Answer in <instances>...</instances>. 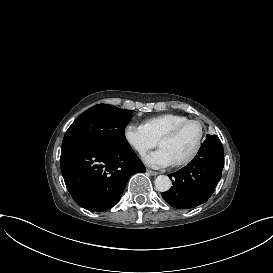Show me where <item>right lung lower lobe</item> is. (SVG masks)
I'll use <instances>...</instances> for the list:
<instances>
[{
    "label": "right lung lower lobe",
    "instance_id": "obj_1",
    "mask_svg": "<svg viewBox=\"0 0 273 273\" xmlns=\"http://www.w3.org/2000/svg\"><path fill=\"white\" fill-rule=\"evenodd\" d=\"M60 166L70 195L79 206L90 211L113 207L129 178L146 170L132 149L87 143L62 148Z\"/></svg>",
    "mask_w": 273,
    "mask_h": 273
}]
</instances>
